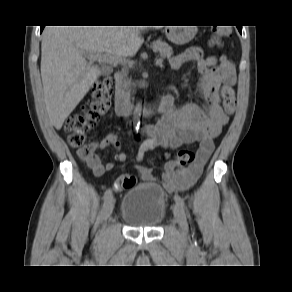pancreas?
Here are the masks:
<instances>
[{
    "label": "pancreas",
    "instance_id": "cf45deb5",
    "mask_svg": "<svg viewBox=\"0 0 292 292\" xmlns=\"http://www.w3.org/2000/svg\"><path fill=\"white\" fill-rule=\"evenodd\" d=\"M152 48L155 52H159L162 58L171 57L173 54L172 47L160 40L153 42Z\"/></svg>",
    "mask_w": 292,
    "mask_h": 292
}]
</instances>
